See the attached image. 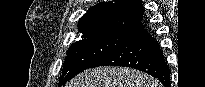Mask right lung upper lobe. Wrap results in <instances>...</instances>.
<instances>
[{"mask_svg": "<svg viewBox=\"0 0 205 87\" xmlns=\"http://www.w3.org/2000/svg\"><path fill=\"white\" fill-rule=\"evenodd\" d=\"M141 0H114L91 7L78 22L79 32L122 31L134 34L144 28Z\"/></svg>", "mask_w": 205, "mask_h": 87, "instance_id": "cb5924a9", "label": "right lung upper lobe"}]
</instances>
